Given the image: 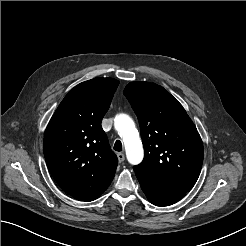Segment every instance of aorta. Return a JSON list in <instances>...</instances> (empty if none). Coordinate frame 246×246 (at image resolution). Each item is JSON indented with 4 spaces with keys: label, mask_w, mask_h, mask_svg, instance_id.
Returning <instances> with one entry per match:
<instances>
[{
    "label": "aorta",
    "mask_w": 246,
    "mask_h": 246,
    "mask_svg": "<svg viewBox=\"0 0 246 246\" xmlns=\"http://www.w3.org/2000/svg\"><path fill=\"white\" fill-rule=\"evenodd\" d=\"M114 126L123 139L128 162L139 164L144 157V150L134 121L127 114H119L114 120Z\"/></svg>",
    "instance_id": "762f6f07"
}]
</instances>
